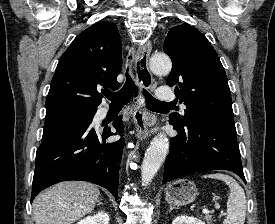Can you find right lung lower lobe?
I'll return each mask as SVG.
<instances>
[{
	"label": "right lung lower lobe",
	"mask_w": 275,
	"mask_h": 224,
	"mask_svg": "<svg viewBox=\"0 0 275 224\" xmlns=\"http://www.w3.org/2000/svg\"><path fill=\"white\" fill-rule=\"evenodd\" d=\"M91 120L57 119L46 121L42 142L36 152L31 201L43 189L69 180L89 181L109 190L117 200L119 164L124 140L106 142L117 133L122 135V116L113 127L94 129Z\"/></svg>",
	"instance_id": "98d812e1"
}]
</instances>
